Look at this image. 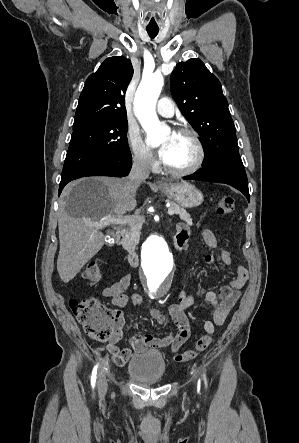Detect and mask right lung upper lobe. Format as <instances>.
<instances>
[{
	"label": "right lung upper lobe",
	"mask_w": 299,
	"mask_h": 443,
	"mask_svg": "<svg viewBox=\"0 0 299 443\" xmlns=\"http://www.w3.org/2000/svg\"><path fill=\"white\" fill-rule=\"evenodd\" d=\"M132 76L129 59L121 56L107 58L97 72L87 78L73 126L109 118L127 119L124 94Z\"/></svg>",
	"instance_id": "1"
}]
</instances>
